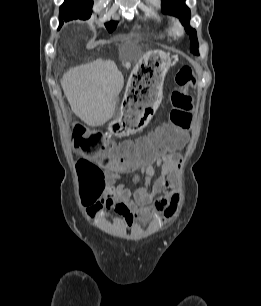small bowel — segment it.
I'll return each mask as SVG.
<instances>
[{
	"label": "small bowel",
	"mask_w": 261,
	"mask_h": 306,
	"mask_svg": "<svg viewBox=\"0 0 261 306\" xmlns=\"http://www.w3.org/2000/svg\"><path fill=\"white\" fill-rule=\"evenodd\" d=\"M180 164L178 153H168L148 164L110 170L106 174L104 197L87 214L93 217L102 209L113 208L127 227L159 214L165 219L173 218L180 203L177 190ZM158 170L160 175L155 178ZM127 172L133 173V182L138 185L135 189L118 182Z\"/></svg>",
	"instance_id": "obj_1"
}]
</instances>
